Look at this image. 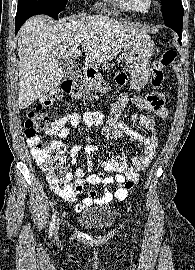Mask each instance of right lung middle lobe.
Returning a JSON list of instances; mask_svg holds the SVG:
<instances>
[{
    "instance_id": "obj_1",
    "label": "right lung middle lobe",
    "mask_w": 195,
    "mask_h": 270,
    "mask_svg": "<svg viewBox=\"0 0 195 270\" xmlns=\"http://www.w3.org/2000/svg\"><path fill=\"white\" fill-rule=\"evenodd\" d=\"M67 0H18V9H31L58 19V13L66 6Z\"/></svg>"
}]
</instances>
